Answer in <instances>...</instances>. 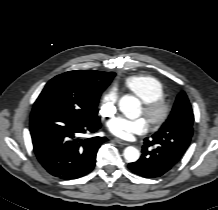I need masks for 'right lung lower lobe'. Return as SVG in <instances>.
Wrapping results in <instances>:
<instances>
[{
  "instance_id": "obj_1",
  "label": "right lung lower lobe",
  "mask_w": 218,
  "mask_h": 210,
  "mask_svg": "<svg viewBox=\"0 0 218 210\" xmlns=\"http://www.w3.org/2000/svg\"><path fill=\"white\" fill-rule=\"evenodd\" d=\"M100 127V119L88 121L52 109L32 111L30 133L35 155L55 177L67 180L82 177L94 168L98 148L106 138L80 136Z\"/></svg>"
}]
</instances>
